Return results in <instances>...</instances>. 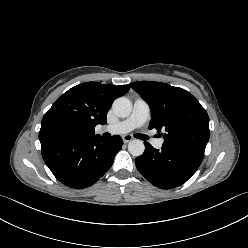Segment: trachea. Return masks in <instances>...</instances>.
<instances>
[{"label":"trachea","instance_id":"3493384b","mask_svg":"<svg viewBox=\"0 0 248 248\" xmlns=\"http://www.w3.org/2000/svg\"><path fill=\"white\" fill-rule=\"evenodd\" d=\"M136 137H138V138H140V139H142V140L147 139V137H146V136L141 135V134H137V135H136Z\"/></svg>","mask_w":248,"mask_h":248}]
</instances>
